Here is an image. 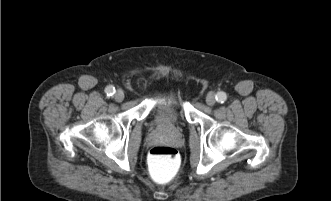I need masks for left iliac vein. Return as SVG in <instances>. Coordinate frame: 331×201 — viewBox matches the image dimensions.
<instances>
[{
	"label": "left iliac vein",
	"instance_id": "4c4485c4",
	"mask_svg": "<svg viewBox=\"0 0 331 201\" xmlns=\"http://www.w3.org/2000/svg\"><path fill=\"white\" fill-rule=\"evenodd\" d=\"M216 102L215 94L213 92H209L206 97V103L209 106H213Z\"/></svg>",
	"mask_w": 331,
	"mask_h": 201
}]
</instances>
